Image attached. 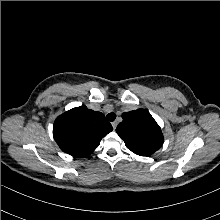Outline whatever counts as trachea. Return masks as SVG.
Returning <instances> with one entry per match:
<instances>
[{
    "instance_id": "obj_1",
    "label": "trachea",
    "mask_w": 220,
    "mask_h": 220,
    "mask_svg": "<svg viewBox=\"0 0 220 220\" xmlns=\"http://www.w3.org/2000/svg\"><path fill=\"white\" fill-rule=\"evenodd\" d=\"M107 120L112 122L116 119V114L111 112V113H108L107 116H106Z\"/></svg>"
}]
</instances>
